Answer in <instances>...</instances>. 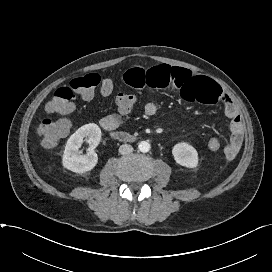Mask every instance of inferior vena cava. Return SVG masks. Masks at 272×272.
Wrapping results in <instances>:
<instances>
[{"label": "inferior vena cava", "instance_id": "1", "mask_svg": "<svg viewBox=\"0 0 272 272\" xmlns=\"http://www.w3.org/2000/svg\"><path fill=\"white\" fill-rule=\"evenodd\" d=\"M133 151V147L129 144H123L119 148V153L122 155L130 154Z\"/></svg>", "mask_w": 272, "mask_h": 272}]
</instances>
